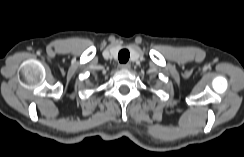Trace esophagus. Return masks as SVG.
Here are the masks:
<instances>
[{
    "instance_id": "34e87169",
    "label": "esophagus",
    "mask_w": 244,
    "mask_h": 157,
    "mask_svg": "<svg viewBox=\"0 0 244 157\" xmlns=\"http://www.w3.org/2000/svg\"><path fill=\"white\" fill-rule=\"evenodd\" d=\"M130 64L129 63H126V64H119V68L120 69H130Z\"/></svg>"
}]
</instances>
